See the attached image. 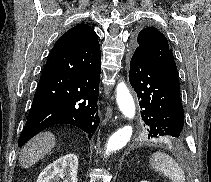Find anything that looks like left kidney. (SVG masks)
Listing matches in <instances>:
<instances>
[{
    "label": "left kidney",
    "instance_id": "1",
    "mask_svg": "<svg viewBox=\"0 0 211 182\" xmlns=\"http://www.w3.org/2000/svg\"><path fill=\"white\" fill-rule=\"evenodd\" d=\"M140 182H148V181L143 180V181H140Z\"/></svg>",
    "mask_w": 211,
    "mask_h": 182
}]
</instances>
